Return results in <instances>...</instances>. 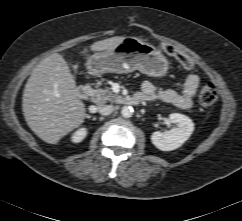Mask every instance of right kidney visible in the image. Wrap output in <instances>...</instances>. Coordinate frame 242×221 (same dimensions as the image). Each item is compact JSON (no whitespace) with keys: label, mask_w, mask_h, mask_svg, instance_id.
<instances>
[{"label":"right kidney","mask_w":242,"mask_h":221,"mask_svg":"<svg viewBox=\"0 0 242 221\" xmlns=\"http://www.w3.org/2000/svg\"><path fill=\"white\" fill-rule=\"evenodd\" d=\"M86 135H87V129L80 128L72 135L71 140L74 143H79L86 137Z\"/></svg>","instance_id":"obj_1"}]
</instances>
